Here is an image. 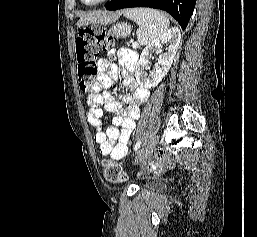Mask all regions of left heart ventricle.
I'll use <instances>...</instances> for the list:
<instances>
[{"label":"left heart ventricle","instance_id":"obj_1","mask_svg":"<svg viewBox=\"0 0 257 237\" xmlns=\"http://www.w3.org/2000/svg\"><path fill=\"white\" fill-rule=\"evenodd\" d=\"M85 1L88 2V3H92V2H95L97 0H85Z\"/></svg>","mask_w":257,"mask_h":237}]
</instances>
